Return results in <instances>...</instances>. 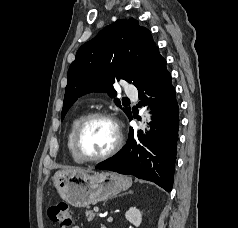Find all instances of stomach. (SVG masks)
Masks as SVG:
<instances>
[{
    "instance_id": "stomach-1",
    "label": "stomach",
    "mask_w": 238,
    "mask_h": 228,
    "mask_svg": "<svg viewBox=\"0 0 238 228\" xmlns=\"http://www.w3.org/2000/svg\"><path fill=\"white\" fill-rule=\"evenodd\" d=\"M53 185L60 197L75 207H86L106 200L108 197L128 189L130 177L113 172H69L57 171Z\"/></svg>"
}]
</instances>
